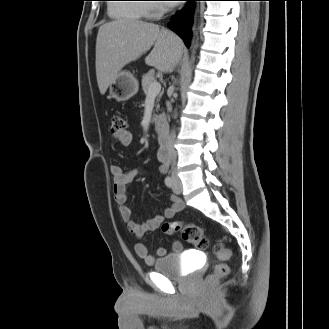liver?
Listing matches in <instances>:
<instances>
[{
  "instance_id": "1",
  "label": "liver",
  "mask_w": 329,
  "mask_h": 329,
  "mask_svg": "<svg viewBox=\"0 0 329 329\" xmlns=\"http://www.w3.org/2000/svg\"><path fill=\"white\" fill-rule=\"evenodd\" d=\"M151 47L145 62L159 72L173 70L181 59V39L156 24L133 19L103 24L97 34L95 62L100 93L104 95L120 70Z\"/></svg>"
}]
</instances>
